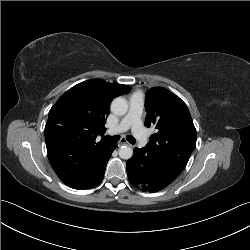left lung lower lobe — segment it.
<instances>
[{
	"label": "left lung lower lobe",
	"instance_id": "left-lung-lower-lobe-1",
	"mask_svg": "<svg viewBox=\"0 0 250 250\" xmlns=\"http://www.w3.org/2000/svg\"><path fill=\"white\" fill-rule=\"evenodd\" d=\"M185 166L175 162L172 153L156 155L148 146L134 148L133 157L126 163L130 183L144 192L162 190L179 176Z\"/></svg>",
	"mask_w": 250,
	"mask_h": 250
}]
</instances>
